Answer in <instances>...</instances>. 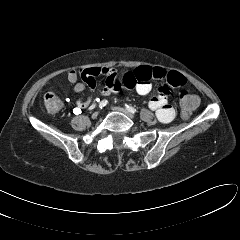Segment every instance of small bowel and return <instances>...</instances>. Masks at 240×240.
Listing matches in <instances>:
<instances>
[{
	"label": "small bowel",
	"mask_w": 240,
	"mask_h": 240,
	"mask_svg": "<svg viewBox=\"0 0 240 240\" xmlns=\"http://www.w3.org/2000/svg\"><path fill=\"white\" fill-rule=\"evenodd\" d=\"M104 76L105 83L100 88L102 95H110L122 89L135 90L139 95H147L152 89L151 80L156 79L162 82L159 93L149 101V108L155 112L158 120L162 123H169L175 118V109L168 103V95L171 90L180 88L186 82L185 77L176 72L168 71L161 67L142 66L127 71L119 79L116 70L108 67H93L82 70L79 75L75 70L67 73V79L72 84L75 92H82L86 87L90 91L96 88L95 77ZM79 77L81 81H79ZM91 99L78 100L75 111L88 107Z\"/></svg>",
	"instance_id": "small-bowel-1"
}]
</instances>
